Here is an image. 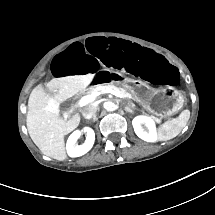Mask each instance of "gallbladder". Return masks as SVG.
Wrapping results in <instances>:
<instances>
[{
    "label": "gallbladder",
    "mask_w": 215,
    "mask_h": 215,
    "mask_svg": "<svg viewBox=\"0 0 215 215\" xmlns=\"http://www.w3.org/2000/svg\"><path fill=\"white\" fill-rule=\"evenodd\" d=\"M44 90H45V91H48V88H45Z\"/></svg>",
    "instance_id": "gallbladder-1"
}]
</instances>
